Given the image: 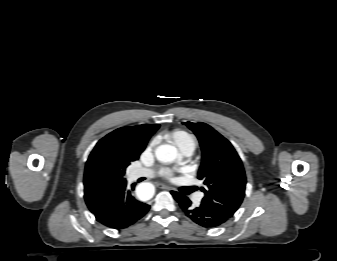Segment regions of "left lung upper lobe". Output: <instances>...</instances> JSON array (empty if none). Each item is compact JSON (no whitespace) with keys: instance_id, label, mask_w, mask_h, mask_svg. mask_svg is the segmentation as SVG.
<instances>
[{"instance_id":"5c2ea615","label":"left lung upper lobe","mask_w":337,"mask_h":261,"mask_svg":"<svg viewBox=\"0 0 337 261\" xmlns=\"http://www.w3.org/2000/svg\"><path fill=\"white\" fill-rule=\"evenodd\" d=\"M197 136L202 149L198 178L208 204L231 218L245 195L246 176L242 161L231 143L205 123L185 122Z\"/></svg>"}]
</instances>
